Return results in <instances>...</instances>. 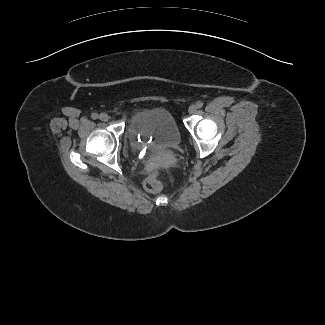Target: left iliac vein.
<instances>
[{
	"mask_svg": "<svg viewBox=\"0 0 325 325\" xmlns=\"http://www.w3.org/2000/svg\"><path fill=\"white\" fill-rule=\"evenodd\" d=\"M197 111V106L196 105H191L188 109L189 114H195Z\"/></svg>",
	"mask_w": 325,
	"mask_h": 325,
	"instance_id": "4c4485c4",
	"label": "left iliac vein"
}]
</instances>
